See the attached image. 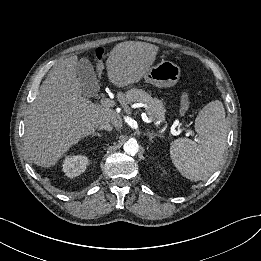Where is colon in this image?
<instances>
[{
  "instance_id": "colon-1",
  "label": "colon",
  "mask_w": 261,
  "mask_h": 261,
  "mask_svg": "<svg viewBox=\"0 0 261 261\" xmlns=\"http://www.w3.org/2000/svg\"><path fill=\"white\" fill-rule=\"evenodd\" d=\"M180 111H182V108H181V106H180Z\"/></svg>"
}]
</instances>
